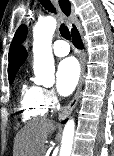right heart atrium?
<instances>
[{
    "instance_id": "1",
    "label": "right heart atrium",
    "mask_w": 114,
    "mask_h": 156,
    "mask_svg": "<svg viewBox=\"0 0 114 156\" xmlns=\"http://www.w3.org/2000/svg\"><path fill=\"white\" fill-rule=\"evenodd\" d=\"M43 99L48 106H54L57 103V96L52 89H43Z\"/></svg>"
}]
</instances>
